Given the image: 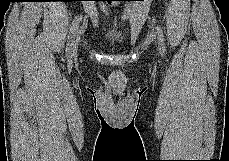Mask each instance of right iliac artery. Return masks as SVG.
Segmentation results:
<instances>
[{
    "mask_svg": "<svg viewBox=\"0 0 229 161\" xmlns=\"http://www.w3.org/2000/svg\"><path fill=\"white\" fill-rule=\"evenodd\" d=\"M79 23H80V18H79V16H77L73 20L72 26L70 28V33H69V36H68V43H67V48H66V56L68 58H70L73 40L75 38L76 31H77V29L79 27Z\"/></svg>",
    "mask_w": 229,
    "mask_h": 161,
    "instance_id": "1",
    "label": "right iliac artery"
}]
</instances>
